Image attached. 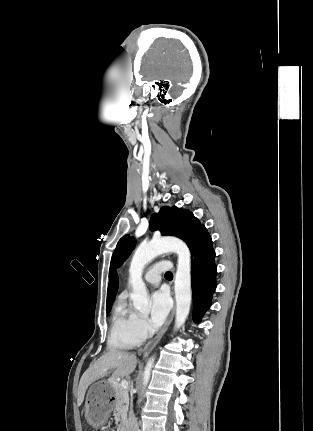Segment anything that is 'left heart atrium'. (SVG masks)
Here are the masks:
<instances>
[{
    "mask_svg": "<svg viewBox=\"0 0 313 431\" xmlns=\"http://www.w3.org/2000/svg\"><path fill=\"white\" fill-rule=\"evenodd\" d=\"M170 299L168 294L159 290L150 297V323L154 327L160 326L166 319L170 310Z\"/></svg>",
    "mask_w": 313,
    "mask_h": 431,
    "instance_id": "left-heart-atrium-1",
    "label": "left heart atrium"
}]
</instances>
